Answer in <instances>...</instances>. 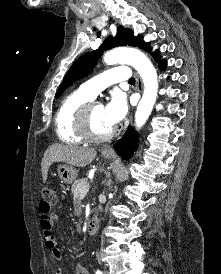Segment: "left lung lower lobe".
<instances>
[{
  "label": "left lung lower lobe",
  "instance_id": "left-lung-lower-lobe-1",
  "mask_svg": "<svg viewBox=\"0 0 221 274\" xmlns=\"http://www.w3.org/2000/svg\"><path fill=\"white\" fill-rule=\"evenodd\" d=\"M155 60L159 62V66L161 69H164L167 65V62L165 60L159 61L157 54H153ZM137 134L134 131L132 127H129V129L124 134L122 140H118L114 146L115 150L119 155H122L123 159L128 160L132 155L136 148L137 144Z\"/></svg>",
  "mask_w": 221,
  "mask_h": 274
}]
</instances>
